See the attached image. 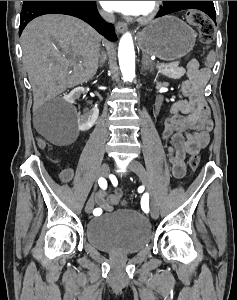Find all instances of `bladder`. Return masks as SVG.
Returning a JSON list of instances; mask_svg holds the SVG:
<instances>
[{
	"label": "bladder",
	"mask_w": 237,
	"mask_h": 300,
	"mask_svg": "<svg viewBox=\"0 0 237 300\" xmlns=\"http://www.w3.org/2000/svg\"><path fill=\"white\" fill-rule=\"evenodd\" d=\"M85 234L87 241L100 251L135 254L150 243L152 229L143 214L124 209L91 218Z\"/></svg>",
	"instance_id": "1"
}]
</instances>
